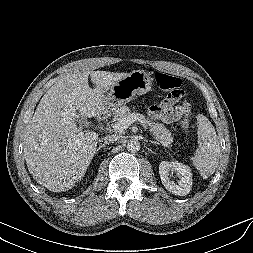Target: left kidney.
I'll return each instance as SVG.
<instances>
[{"label":"left kidney","instance_id":"5707ae66","mask_svg":"<svg viewBox=\"0 0 253 253\" xmlns=\"http://www.w3.org/2000/svg\"><path fill=\"white\" fill-rule=\"evenodd\" d=\"M170 172H176L178 183L170 180ZM159 174L164 187L172 194L185 196L192 187V173L189 167L179 162L162 161L159 165Z\"/></svg>","mask_w":253,"mask_h":253}]
</instances>
